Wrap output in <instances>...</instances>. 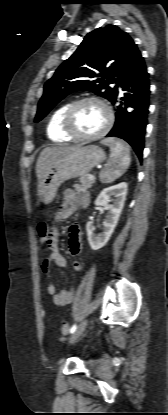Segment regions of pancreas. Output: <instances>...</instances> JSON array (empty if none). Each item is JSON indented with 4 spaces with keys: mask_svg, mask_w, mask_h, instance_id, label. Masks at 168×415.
Wrapping results in <instances>:
<instances>
[{
    "mask_svg": "<svg viewBox=\"0 0 168 415\" xmlns=\"http://www.w3.org/2000/svg\"><path fill=\"white\" fill-rule=\"evenodd\" d=\"M78 182L79 183L74 185L75 190L76 191H85L93 185V183L95 182V179L90 180L88 178V176H83L79 179Z\"/></svg>",
    "mask_w": 168,
    "mask_h": 415,
    "instance_id": "pancreas-1",
    "label": "pancreas"
}]
</instances>
